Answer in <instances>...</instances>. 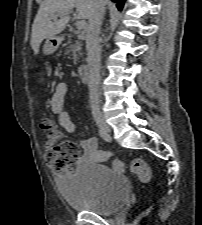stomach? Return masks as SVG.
<instances>
[{
	"label": "stomach",
	"mask_w": 202,
	"mask_h": 225,
	"mask_svg": "<svg viewBox=\"0 0 202 225\" xmlns=\"http://www.w3.org/2000/svg\"><path fill=\"white\" fill-rule=\"evenodd\" d=\"M54 38H48L45 42L43 51L46 55L53 53V51L57 48V44L53 42Z\"/></svg>",
	"instance_id": "0dacf381"
}]
</instances>
